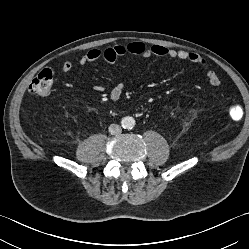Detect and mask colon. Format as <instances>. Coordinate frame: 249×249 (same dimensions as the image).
Returning <instances> with one entry per match:
<instances>
[{
  "instance_id": "obj_1",
  "label": "colon",
  "mask_w": 249,
  "mask_h": 249,
  "mask_svg": "<svg viewBox=\"0 0 249 249\" xmlns=\"http://www.w3.org/2000/svg\"><path fill=\"white\" fill-rule=\"evenodd\" d=\"M53 84L54 72L49 68H45L32 80L29 86V91L34 95L45 96L51 91ZM241 116L242 109L240 107L235 106L231 109V117L233 119H238Z\"/></svg>"
}]
</instances>
